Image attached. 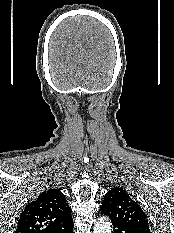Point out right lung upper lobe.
<instances>
[{
  "mask_svg": "<svg viewBox=\"0 0 174 233\" xmlns=\"http://www.w3.org/2000/svg\"><path fill=\"white\" fill-rule=\"evenodd\" d=\"M72 225L71 208L64 195L50 188L25 207L15 233H61Z\"/></svg>",
  "mask_w": 174,
  "mask_h": 233,
  "instance_id": "obj_1",
  "label": "right lung upper lobe"
}]
</instances>
